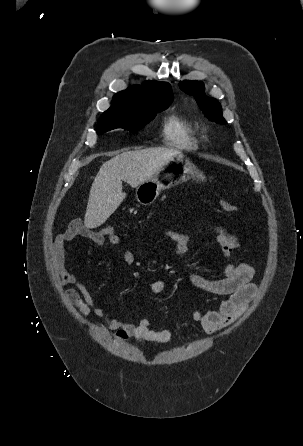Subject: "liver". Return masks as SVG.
I'll list each match as a JSON object with an SVG mask.
<instances>
[{"label":"liver","mask_w":303,"mask_h":446,"mask_svg":"<svg viewBox=\"0 0 303 446\" xmlns=\"http://www.w3.org/2000/svg\"><path fill=\"white\" fill-rule=\"evenodd\" d=\"M178 155L177 150L150 148L123 152L103 163L90 190L85 226L92 229L102 225L118 208L126 197L122 181L138 187Z\"/></svg>","instance_id":"liver-1"}]
</instances>
